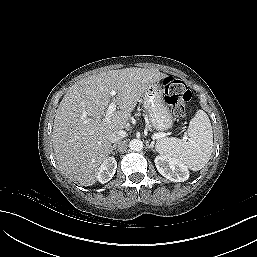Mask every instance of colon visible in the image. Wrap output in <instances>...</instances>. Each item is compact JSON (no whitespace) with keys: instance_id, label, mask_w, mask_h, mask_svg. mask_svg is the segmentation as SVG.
Returning a JSON list of instances; mask_svg holds the SVG:
<instances>
[{"instance_id":"1","label":"colon","mask_w":257,"mask_h":257,"mask_svg":"<svg viewBox=\"0 0 257 257\" xmlns=\"http://www.w3.org/2000/svg\"><path fill=\"white\" fill-rule=\"evenodd\" d=\"M162 87L165 101L172 113L178 118L184 117L187 104L192 97L191 91L186 84L179 79L169 76L162 81Z\"/></svg>"}]
</instances>
